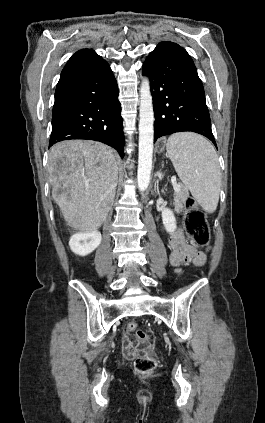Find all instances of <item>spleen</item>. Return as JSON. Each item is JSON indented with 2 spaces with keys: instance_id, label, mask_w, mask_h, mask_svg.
I'll return each mask as SVG.
<instances>
[{
  "instance_id": "3e777b00",
  "label": "spleen",
  "mask_w": 265,
  "mask_h": 423,
  "mask_svg": "<svg viewBox=\"0 0 265 423\" xmlns=\"http://www.w3.org/2000/svg\"><path fill=\"white\" fill-rule=\"evenodd\" d=\"M166 150L175 171L197 203L213 213L219 202L221 171L213 145L192 132L172 134Z\"/></svg>"
}]
</instances>
